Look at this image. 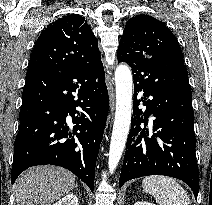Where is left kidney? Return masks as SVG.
Wrapping results in <instances>:
<instances>
[{
	"instance_id": "obj_1",
	"label": "left kidney",
	"mask_w": 212,
	"mask_h": 205,
	"mask_svg": "<svg viewBox=\"0 0 212 205\" xmlns=\"http://www.w3.org/2000/svg\"><path fill=\"white\" fill-rule=\"evenodd\" d=\"M134 205H155V204L150 202L138 201V202H135Z\"/></svg>"
}]
</instances>
